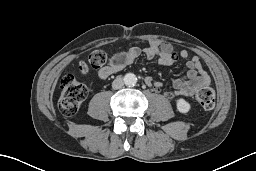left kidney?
<instances>
[{"label": "left kidney", "mask_w": 256, "mask_h": 171, "mask_svg": "<svg viewBox=\"0 0 256 171\" xmlns=\"http://www.w3.org/2000/svg\"><path fill=\"white\" fill-rule=\"evenodd\" d=\"M176 106H177V110L180 112V113H187L191 106L189 104V102H187L185 99L183 98H180L176 101Z\"/></svg>", "instance_id": "obj_1"}]
</instances>
